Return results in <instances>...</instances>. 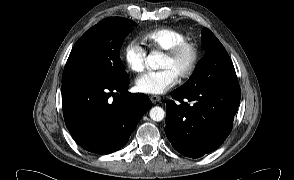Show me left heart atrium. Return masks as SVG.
<instances>
[{
    "label": "left heart atrium",
    "instance_id": "left-heart-atrium-1",
    "mask_svg": "<svg viewBox=\"0 0 294 180\" xmlns=\"http://www.w3.org/2000/svg\"><path fill=\"white\" fill-rule=\"evenodd\" d=\"M178 76L169 68L150 71L139 76L135 82L137 91L143 94L161 95L173 87Z\"/></svg>",
    "mask_w": 294,
    "mask_h": 180
}]
</instances>
